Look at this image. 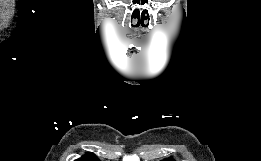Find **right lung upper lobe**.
<instances>
[{
  "mask_svg": "<svg viewBox=\"0 0 261 161\" xmlns=\"http://www.w3.org/2000/svg\"><path fill=\"white\" fill-rule=\"evenodd\" d=\"M75 161H99V160H96V158L93 156V154L87 153L85 156H83L82 158L77 159Z\"/></svg>",
  "mask_w": 261,
  "mask_h": 161,
  "instance_id": "right-lung-upper-lobe-1",
  "label": "right lung upper lobe"
}]
</instances>
